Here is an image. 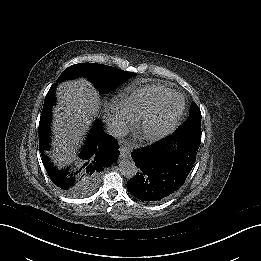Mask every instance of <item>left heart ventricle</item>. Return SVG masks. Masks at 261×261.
Returning <instances> with one entry per match:
<instances>
[{
    "label": "left heart ventricle",
    "mask_w": 261,
    "mask_h": 261,
    "mask_svg": "<svg viewBox=\"0 0 261 261\" xmlns=\"http://www.w3.org/2000/svg\"><path fill=\"white\" fill-rule=\"evenodd\" d=\"M181 103L179 97L170 99L158 113L151 117L152 120L147 125V130H155L168 124L180 111Z\"/></svg>",
    "instance_id": "obj_1"
}]
</instances>
